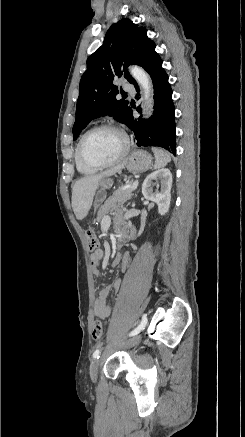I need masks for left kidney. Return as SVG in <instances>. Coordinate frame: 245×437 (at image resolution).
Instances as JSON below:
<instances>
[{
    "label": "left kidney",
    "instance_id": "left-kidney-1",
    "mask_svg": "<svg viewBox=\"0 0 245 437\" xmlns=\"http://www.w3.org/2000/svg\"><path fill=\"white\" fill-rule=\"evenodd\" d=\"M160 180L161 190L153 191V181ZM172 174L169 169L162 168L149 174L142 184V194L146 200L158 205V213L165 215L170 207Z\"/></svg>",
    "mask_w": 245,
    "mask_h": 437
}]
</instances>
